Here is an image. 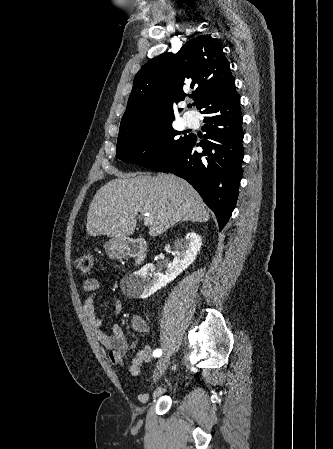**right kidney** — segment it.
Returning a JSON list of instances; mask_svg holds the SVG:
<instances>
[{
	"label": "right kidney",
	"instance_id": "obj_1",
	"mask_svg": "<svg viewBox=\"0 0 333 449\" xmlns=\"http://www.w3.org/2000/svg\"><path fill=\"white\" fill-rule=\"evenodd\" d=\"M202 245V238L195 232L185 236L184 243L176 245V252L172 265L167 269L165 275L155 272L152 263L146 264L135 273L137 291L140 298H147L157 290L172 282L178 275L187 269L196 259Z\"/></svg>",
	"mask_w": 333,
	"mask_h": 449
}]
</instances>
